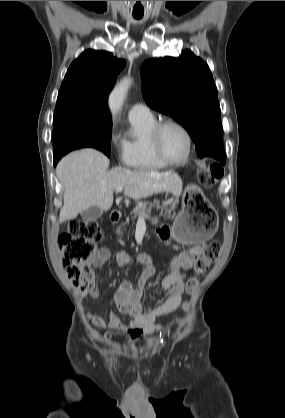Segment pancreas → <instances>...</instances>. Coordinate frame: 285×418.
Masks as SVG:
<instances>
[{
    "label": "pancreas",
    "instance_id": "1",
    "mask_svg": "<svg viewBox=\"0 0 285 418\" xmlns=\"http://www.w3.org/2000/svg\"><path fill=\"white\" fill-rule=\"evenodd\" d=\"M156 207V209H161L162 211H165V216L167 218H174L175 213H173L175 209V204H168L167 202H160V201H154L153 203H143L142 205L136 207L133 210V219L135 217H140L141 215H145L146 212H150L152 208ZM119 233V231H118Z\"/></svg>",
    "mask_w": 285,
    "mask_h": 418
}]
</instances>
